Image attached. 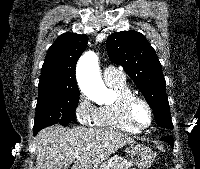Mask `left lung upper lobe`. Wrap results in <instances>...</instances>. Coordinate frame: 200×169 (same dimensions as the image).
Masks as SVG:
<instances>
[{"label":"left lung upper lobe","instance_id":"left-lung-upper-lobe-1","mask_svg":"<svg viewBox=\"0 0 200 169\" xmlns=\"http://www.w3.org/2000/svg\"><path fill=\"white\" fill-rule=\"evenodd\" d=\"M106 47L112 62L124 68L153 109L156 123L173 129L161 64L145 36L136 31L117 32L108 37Z\"/></svg>","mask_w":200,"mask_h":169}]
</instances>
